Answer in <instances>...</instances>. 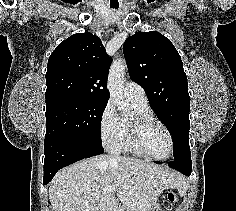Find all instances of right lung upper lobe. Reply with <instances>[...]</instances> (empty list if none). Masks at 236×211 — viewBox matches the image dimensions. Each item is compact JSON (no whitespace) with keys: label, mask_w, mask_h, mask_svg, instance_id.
Masks as SVG:
<instances>
[{"label":"right lung upper lobe","mask_w":236,"mask_h":211,"mask_svg":"<svg viewBox=\"0 0 236 211\" xmlns=\"http://www.w3.org/2000/svg\"><path fill=\"white\" fill-rule=\"evenodd\" d=\"M111 59L101 40L89 32L61 42L49 57L46 106L65 100L108 102Z\"/></svg>","instance_id":"1"}]
</instances>
